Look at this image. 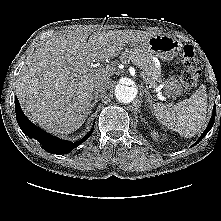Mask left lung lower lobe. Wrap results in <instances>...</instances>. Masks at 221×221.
<instances>
[{"mask_svg": "<svg viewBox=\"0 0 221 221\" xmlns=\"http://www.w3.org/2000/svg\"><path fill=\"white\" fill-rule=\"evenodd\" d=\"M215 109H216V106H214V108H213L212 117H211V119H210V122H209V124H208L206 130H205L204 133L201 135V137L199 138V140H198L195 144L192 145V147H193L194 145L198 144V143L206 136V134L210 131V129L212 128L213 123H214V120H215Z\"/></svg>", "mask_w": 221, "mask_h": 221, "instance_id": "0a47b994", "label": "left lung lower lobe"}]
</instances>
